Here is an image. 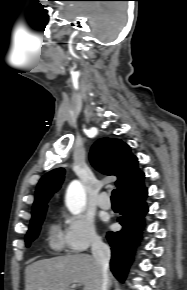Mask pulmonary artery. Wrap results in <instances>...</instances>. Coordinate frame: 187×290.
I'll return each mask as SVG.
<instances>
[{
  "label": "pulmonary artery",
  "instance_id": "1",
  "mask_svg": "<svg viewBox=\"0 0 187 290\" xmlns=\"http://www.w3.org/2000/svg\"><path fill=\"white\" fill-rule=\"evenodd\" d=\"M97 205L105 210H108L111 208V202L109 200V197L107 195V193L102 192L97 199Z\"/></svg>",
  "mask_w": 187,
  "mask_h": 290
}]
</instances>
